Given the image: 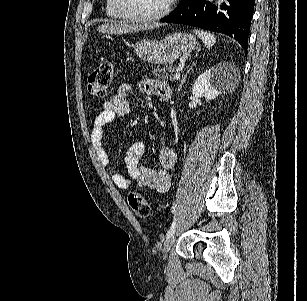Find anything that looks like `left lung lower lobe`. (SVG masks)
I'll return each mask as SVG.
<instances>
[{"instance_id": "1", "label": "left lung lower lobe", "mask_w": 307, "mask_h": 301, "mask_svg": "<svg viewBox=\"0 0 307 301\" xmlns=\"http://www.w3.org/2000/svg\"><path fill=\"white\" fill-rule=\"evenodd\" d=\"M221 10L209 0H182L161 22L186 24L234 37L247 52L255 0H227Z\"/></svg>"}]
</instances>
